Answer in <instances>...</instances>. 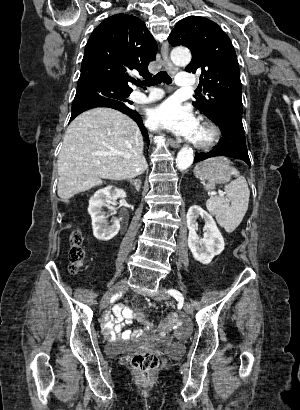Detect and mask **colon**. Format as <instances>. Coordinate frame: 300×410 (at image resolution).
I'll return each instance as SVG.
<instances>
[{
  "instance_id": "obj_1",
  "label": "colon",
  "mask_w": 300,
  "mask_h": 410,
  "mask_svg": "<svg viewBox=\"0 0 300 410\" xmlns=\"http://www.w3.org/2000/svg\"><path fill=\"white\" fill-rule=\"evenodd\" d=\"M71 248L69 251V270L71 273H77L84 265L86 259V250L84 248V237L79 230L72 232L70 237ZM166 322L168 325L174 324L178 317L176 314H168ZM130 364L138 374L144 378L152 375L159 365V357L156 353L142 351L134 353L131 356Z\"/></svg>"
}]
</instances>
